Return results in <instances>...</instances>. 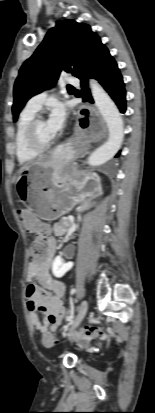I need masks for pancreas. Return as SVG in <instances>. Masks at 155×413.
I'll return each mask as SVG.
<instances>
[{"label":"pancreas","instance_id":"obj_1","mask_svg":"<svg viewBox=\"0 0 155 413\" xmlns=\"http://www.w3.org/2000/svg\"><path fill=\"white\" fill-rule=\"evenodd\" d=\"M55 229L58 230L56 233H57V235H59V236L64 233V230H63V227H62L61 223H57V224L55 225Z\"/></svg>","mask_w":155,"mask_h":413}]
</instances>
